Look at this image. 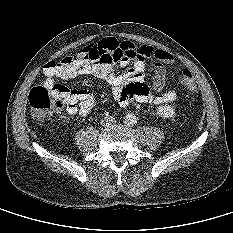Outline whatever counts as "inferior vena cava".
I'll return each mask as SVG.
<instances>
[{
  "instance_id": "obj_1",
  "label": "inferior vena cava",
  "mask_w": 233,
  "mask_h": 233,
  "mask_svg": "<svg viewBox=\"0 0 233 233\" xmlns=\"http://www.w3.org/2000/svg\"><path fill=\"white\" fill-rule=\"evenodd\" d=\"M115 123H116V120L113 116H108L101 120V124L104 127H111Z\"/></svg>"
}]
</instances>
